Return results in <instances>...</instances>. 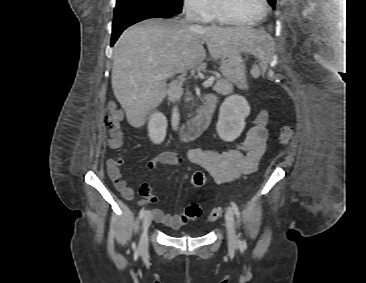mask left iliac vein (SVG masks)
Segmentation results:
<instances>
[{"mask_svg":"<svg viewBox=\"0 0 366 283\" xmlns=\"http://www.w3.org/2000/svg\"><path fill=\"white\" fill-rule=\"evenodd\" d=\"M225 221L227 227V236H228V244L231 248H237L238 246V237L235 232V221L234 215L231 208H227L225 213Z\"/></svg>","mask_w":366,"mask_h":283,"instance_id":"4c4485c4","label":"left iliac vein"}]
</instances>
